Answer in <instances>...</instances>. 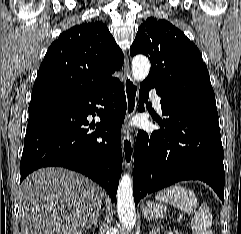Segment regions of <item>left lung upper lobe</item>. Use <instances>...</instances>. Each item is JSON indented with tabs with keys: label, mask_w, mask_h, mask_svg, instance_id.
I'll return each mask as SVG.
<instances>
[{
	"label": "left lung upper lobe",
	"mask_w": 241,
	"mask_h": 234,
	"mask_svg": "<svg viewBox=\"0 0 241 234\" xmlns=\"http://www.w3.org/2000/svg\"><path fill=\"white\" fill-rule=\"evenodd\" d=\"M130 54H144L150 59L145 81L152 82L164 95L217 111L201 53L168 21L148 18L138 28Z\"/></svg>",
	"instance_id": "left-lung-upper-lobe-1"
}]
</instances>
